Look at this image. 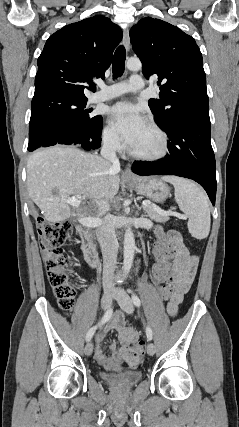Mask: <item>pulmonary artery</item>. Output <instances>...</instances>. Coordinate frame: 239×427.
<instances>
[{
	"mask_svg": "<svg viewBox=\"0 0 239 427\" xmlns=\"http://www.w3.org/2000/svg\"><path fill=\"white\" fill-rule=\"evenodd\" d=\"M145 88V81L139 75H132L127 82H119L110 86H101V90L95 93L91 98V103L106 101L128 92H137Z\"/></svg>",
	"mask_w": 239,
	"mask_h": 427,
	"instance_id": "pulmonary-artery-1",
	"label": "pulmonary artery"
}]
</instances>
